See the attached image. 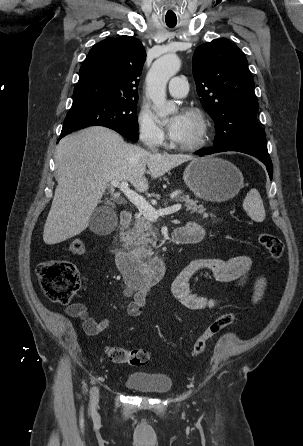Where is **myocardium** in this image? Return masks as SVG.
Wrapping results in <instances>:
<instances>
[{
    "label": "myocardium",
    "mask_w": 303,
    "mask_h": 446,
    "mask_svg": "<svg viewBox=\"0 0 303 446\" xmlns=\"http://www.w3.org/2000/svg\"><path fill=\"white\" fill-rule=\"evenodd\" d=\"M186 114L193 115L199 122V131L196 138L189 143H175V147L183 151H194L201 148L209 134V122L205 112L199 107H189Z\"/></svg>",
    "instance_id": "1"
}]
</instances>
